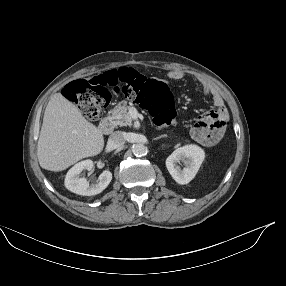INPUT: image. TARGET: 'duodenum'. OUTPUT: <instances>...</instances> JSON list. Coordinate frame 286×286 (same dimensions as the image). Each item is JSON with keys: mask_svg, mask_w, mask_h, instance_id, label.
Listing matches in <instances>:
<instances>
[{"mask_svg": "<svg viewBox=\"0 0 286 286\" xmlns=\"http://www.w3.org/2000/svg\"><path fill=\"white\" fill-rule=\"evenodd\" d=\"M115 128V124L111 117L108 115L102 120L100 125V130L104 135H110Z\"/></svg>", "mask_w": 286, "mask_h": 286, "instance_id": "duodenum-1", "label": "duodenum"}]
</instances>
